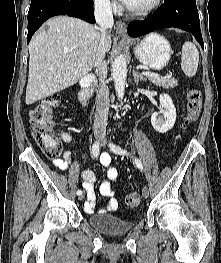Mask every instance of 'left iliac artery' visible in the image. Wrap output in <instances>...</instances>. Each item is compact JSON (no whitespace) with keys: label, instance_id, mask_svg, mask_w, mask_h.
<instances>
[{"label":"left iliac artery","instance_id":"44dca946","mask_svg":"<svg viewBox=\"0 0 221 263\" xmlns=\"http://www.w3.org/2000/svg\"><path fill=\"white\" fill-rule=\"evenodd\" d=\"M109 147H110V150H111V151H113V152H115V153H117V154L127 155V156L130 155L129 152H127L126 150L120 148L119 146H116V145L113 144V143H110V144H109ZM135 164L137 165V167H138L139 169L142 170V163H141V161H140L139 159H135Z\"/></svg>","mask_w":221,"mask_h":263}]
</instances>
